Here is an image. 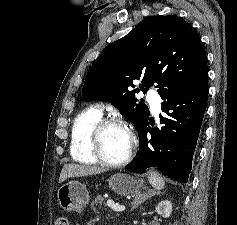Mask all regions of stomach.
Instances as JSON below:
<instances>
[{"instance_id":"1","label":"stomach","mask_w":237,"mask_h":225,"mask_svg":"<svg viewBox=\"0 0 237 225\" xmlns=\"http://www.w3.org/2000/svg\"><path fill=\"white\" fill-rule=\"evenodd\" d=\"M108 182L109 187L121 196L135 195L143 186L141 179L123 173L114 174ZM57 199L63 210L81 212L89 202V193L84 184L73 180L60 186Z\"/></svg>"}]
</instances>
